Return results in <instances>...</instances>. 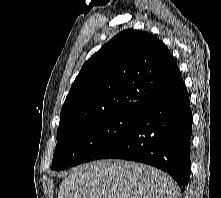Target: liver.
<instances>
[{"mask_svg": "<svg viewBox=\"0 0 221 198\" xmlns=\"http://www.w3.org/2000/svg\"><path fill=\"white\" fill-rule=\"evenodd\" d=\"M58 198H179V187L159 169L123 160H97L75 167Z\"/></svg>", "mask_w": 221, "mask_h": 198, "instance_id": "obj_1", "label": "liver"}]
</instances>
